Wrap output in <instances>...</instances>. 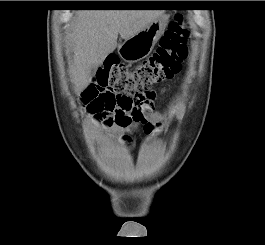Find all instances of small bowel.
Returning a JSON list of instances; mask_svg holds the SVG:
<instances>
[{"mask_svg":"<svg viewBox=\"0 0 265 245\" xmlns=\"http://www.w3.org/2000/svg\"><path fill=\"white\" fill-rule=\"evenodd\" d=\"M99 91L97 89V87L93 84L90 83L85 91L82 94V102L84 104H92V102L98 97ZM147 112V118L150 120V122L153 123H159L162 122L164 120H166L167 116L166 114H164L163 112H153L152 111V107H146L145 108V113ZM143 119H141L142 121ZM140 123H136L134 121L128 123V124H119L117 123L116 127H115V131L121 135L125 140H129L130 136L138 130V128L140 127ZM144 131L146 133H148L150 131V127H146V125H144Z\"/></svg>","mask_w":265,"mask_h":245,"instance_id":"small-bowel-1","label":"small bowel"}]
</instances>
